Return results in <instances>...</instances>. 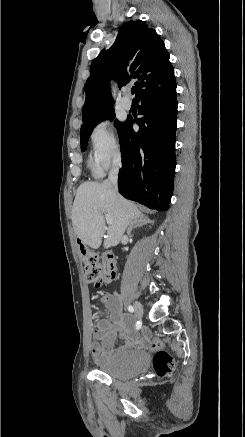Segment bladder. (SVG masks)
<instances>
[{
  "instance_id": "31cf9c89",
  "label": "bladder",
  "mask_w": 245,
  "mask_h": 437,
  "mask_svg": "<svg viewBox=\"0 0 245 437\" xmlns=\"http://www.w3.org/2000/svg\"><path fill=\"white\" fill-rule=\"evenodd\" d=\"M148 365L149 354L145 350L118 349L97 367L112 378L128 380L144 372Z\"/></svg>"
}]
</instances>
